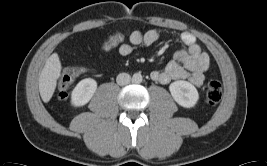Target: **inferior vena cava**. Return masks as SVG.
<instances>
[{
  "label": "inferior vena cava",
  "instance_id": "obj_1",
  "mask_svg": "<svg viewBox=\"0 0 267 166\" xmlns=\"http://www.w3.org/2000/svg\"><path fill=\"white\" fill-rule=\"evenodd\" d=\"M131 81V76L128 73H120L117 78L116 82L120 86H124L129 84Z\"/></svg>",
  "mask_w": 267,
  "mask_h": 166
}]
</instances>
